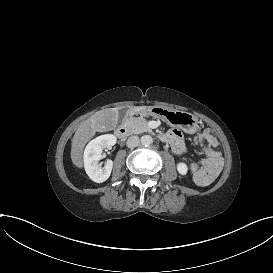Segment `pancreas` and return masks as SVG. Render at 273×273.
<instances>
[{
  "mask_svg": "<svg viewBox=\"0 0 273 273\" xmlns=\"http://www.w3.org/2000/svg\"><path fill=\"white\" fill-rule=\"evenodd\" d=\"M126 125L131 129L133 134H140L143 132L152 133V129L148 126V122L142 117H131L127 119Z\"/></svg>",
  "mask_w": 273,
  "mask_h": 273,
  "instance_id": "1",
  "label": "pancreas"
}]
</instances>
